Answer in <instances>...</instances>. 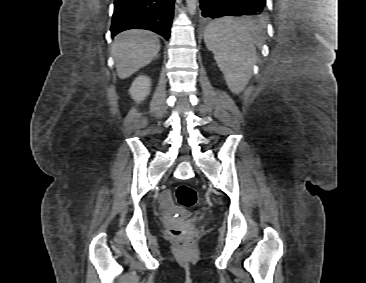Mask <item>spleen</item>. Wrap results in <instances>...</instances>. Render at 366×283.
Here are the masks:
<instances>
[{"label":"spleen","mask_w":366,"mask_h":283,"mask_svg":"<svg viewBox=\"0 0 366 283\" xmlns=\"http://www.w3.org/2000/svg\"><path fill=\"white\" fill-rule=\"evenodd\" d=\"M257 27L246 19H218L205 29L204 41L233 93L242 92L256 62Z\"/></svg>","instance_id":"obj_1"}]
</instances>
